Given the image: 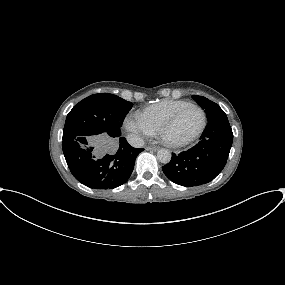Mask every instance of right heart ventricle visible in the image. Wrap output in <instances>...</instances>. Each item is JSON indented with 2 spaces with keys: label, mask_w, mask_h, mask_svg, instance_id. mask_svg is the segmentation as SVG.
Instances as JSON below:
<instances>
[{
  "label": "right heart ventricle",
  "mask_w": 285,
  "mask_h": 285,
  "mask_svg": "<svg viewBox=\"0 0 285 285\" xmlns=\"http://www.w3.org/2000/svg\"><path fill=\"white\" fill-rule=\"evenodd\" d=\"M188 104L190 103L183 100H164L147 107L138 113V117L156 132L159 131L161 125L169 120L179 109Z\"/></svg>",
  "instance_id": "obj_1"
}]
</instances>
